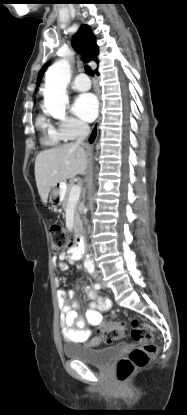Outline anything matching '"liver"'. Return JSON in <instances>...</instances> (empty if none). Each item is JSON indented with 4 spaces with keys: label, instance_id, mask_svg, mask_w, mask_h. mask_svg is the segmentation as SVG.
Here are the masks:
<instances>
[{
    "label": "liver",
    "instance_id": "obj_1",
    "mask_svg": "<svg viewBox=\"0 0 187 415\" xmlns=\"http://www.w3.org/2000/svg\"><path fill=\"white\" fill-rule=\"evenodd\" d=\"M86 168L87 152L75 143L40 152L35 160V180L42 202L47 203L53 186L78 174H84Z\"/></svg>",
    "mask_w": 187,
    "mask_h": 415
}]
</instances>
